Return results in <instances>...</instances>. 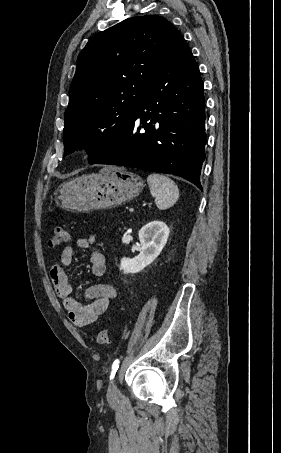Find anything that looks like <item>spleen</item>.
Segmentation results:
<instances>
[{
  "label": "spleen",
  "instance_id": "spleen-1",
  "mask_svg": "<svg viewBox=\"0 0 281 453\" xmlns=\"http://www.w3.org/2000/svg\"><path fill=\"white\" fill-rule=\"evenodd\" d=\"M150 192L155 196L158 208H170L179 198V188L171 178L163 174H149L147 176Z\"/></svg>",
  "mask_w": 281,
  "mask_h": 453
}]
</instances>
